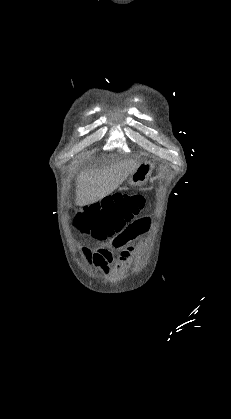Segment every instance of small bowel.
Instances as JSON below:
<instances>
[{"mask_svg": "<svg viewBox=\"0 0 231 419\" xmlns=\"http://www.w3.org/2000/svg\"><path fill=\"white\" fill-rule=\"evenodd\" d=\"M149 218H142L127 225L106 247L99 248L93 254L87 253L90 263L97 266L102 272H109V265L113 261V250H120V260L122 264H127L133 254L132 241L140 234L146 232L150 226ZM121 268L118 265L117 270Z\"/></svg>", "mask_w": 231, "mask_h": 419, "instance_id": "c3829d8e", "label": "small bowel"}]
</instances>
